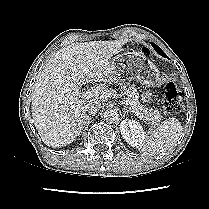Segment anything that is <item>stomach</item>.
<instances>
[{
  "instance_id": "1",
  "label": "stomach",
  "mask_w": 209,
  "mask_h": 209,
  "mask_svg": "<svg viewBox=\"0 0 209 209\" xmlns=\"http://www.w3.org/2000/svg\"><path fill=\"white\" fill-rule=\"evenodd\" d=\"M113 76L122 83L138 80L146 86H160L162 77L157 67L140 52H127L115 56L111 62Z\"/></svg>"
}]
</instances>
